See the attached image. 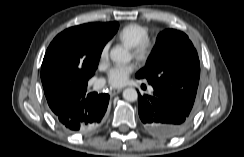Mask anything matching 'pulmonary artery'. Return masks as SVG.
<instances>
[{"label": "pulmonary artery", "mask_w": 244, "mask_h": 157, "mask_svg": "<svg viewBox=\"0 0 244 157\" xmlns=\"http://www.w3.org/2000/svg\"><path fill=\"white\" fill-rule=\"evenodd\" d=\"M102 82L101 81H99V82H97L96 84H95V88L96 89H99V88H101L102 87ZM151 90V89H150Z\"/></svg>", "instance_id": "1"}]
</instances>
